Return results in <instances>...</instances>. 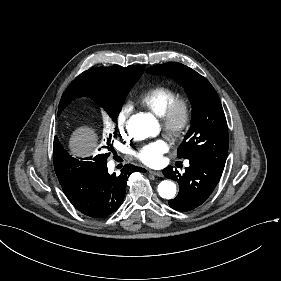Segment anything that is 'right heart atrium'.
<instances>
[{"label":"right heart atrium","instance_id":"1","mask_svg":"<svg viewBox=\"0 0 281 281\" xmlns=\"http://www.w3.org/2000/svg\"><path fill=\"white\" fill-rule=\"evenodd\" d=\"M132 105L126 103L121 106L116 115V126L118 130L129 138L140 140L143 132L142 128L138 125H132L129 116L132 112Z\"/></svg>","mask_w":281,"mask_h":281}]
</instances>
